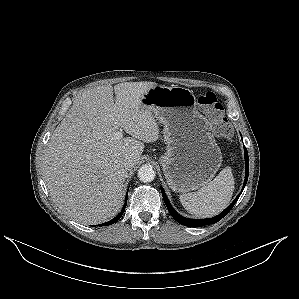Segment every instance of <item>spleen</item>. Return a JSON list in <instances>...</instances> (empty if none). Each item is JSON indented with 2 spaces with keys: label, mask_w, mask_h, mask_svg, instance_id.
Here are the masks:
<instances>
[{
  "label": "spleen",
  "mask_w": 299,
  "mask_h": 299,
  "mask_svg": "<svg viewBox=\"0 0 299 299\" xmlns=\"http://www.w3.org/2000/svg\"><path fill=\"white\" fill-rule=\"evenodd\" d=\"M234 184L231 168L225 167L210 183L197 192L180 195V202L190 214L196 217H213L228 206L235 188Z\"/></svg>",
  "instance_id": "3e777b00"
}]
</instances>
